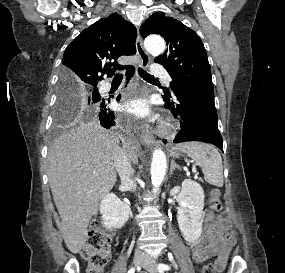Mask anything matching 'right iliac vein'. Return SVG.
<instances>
[{"label":"right iliac vein","mask_w":285,"mask_h":273,"mask_svg":"<svg viewBox=\"0 0 285 273\" xmlns=\"http://www.w3.org/2000/svg\"><path fill=\"white\" fill-rule=\"evenodd\" d=\"M144 260V255L141 253H136L133 258V264L138 266Z\"/></svg>","instance_id":"right-iliac-vein-1"}]
</instances>
